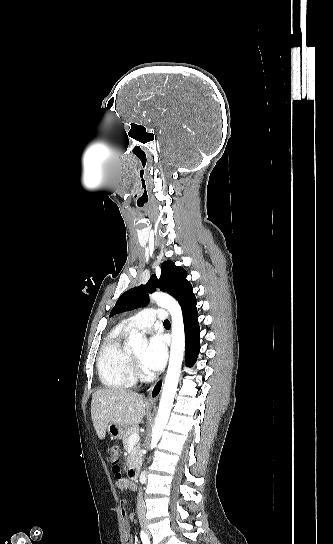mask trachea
I'll return each mask as SVG.
<instances>
[{
	"mask_svg": "<svg viewBox=\"0 0 333 544\" xmlns=\"http://www.w3.org/2000/svg\"><path fill=\"white\" fill-rule=\"evenodd\" d=\"M164 325H170V321H169V320H165V321H164Z\"/></svg>",
	"mask_w": 333,
	"mask_h": 544,
	"instance_id": "trachea-1",
	"label": "trachea"
}]
</instances>
